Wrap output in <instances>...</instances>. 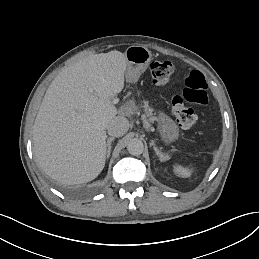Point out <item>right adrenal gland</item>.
I'll use <instances>...</instances> for the list:
<instances>
[{
	"instance_id": "2a0ac1e0",
	"label": "right adrenal gland",
	"mask_w": 259,
	"mask_h": 259,
	"mask_svg": "<svg viewBox=\"0 0 259 259\" xmlns=\"http://www.w3.org/2000/svg\"><path fill=\"white\" fill-rule=\"evenodd\" d=\"M113 140H114L113 137H108V139H107L108 154L110 153V150H111V143H112Z\"/></svg>"
}]
</instances>
